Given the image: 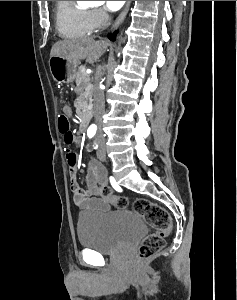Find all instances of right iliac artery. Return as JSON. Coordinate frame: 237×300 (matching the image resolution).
Returning a JSON list of instances; mask_svg holds the SVG:
<instances>
[{
  "instance_id": "obj_1",
  "label": "right iliac artery",
  "mask_w": 237,
  "mask_h": 300,
  "mask_svg": "<svg viewBox=\"0 0 237 300\" xmlns=\"http://www.w3.org/2000/svg\"><path fill=\"white\" fill-rule=\"evenodd\" d=\"M95 132L88 130L87 135L89 138H92L94 136Z\"/></svg>"
}]
</instances>
